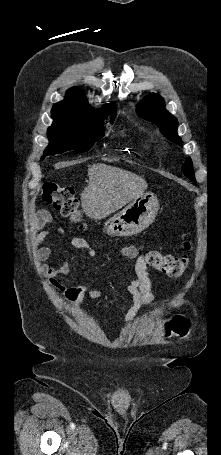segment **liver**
Returning <instances> with one entry per match:
<instances>
[{"mask_svg":"<svg viewBox=\"0 0 221 455\" xmlns=\"http://www.w3.org/2000/svg\"><path fill=\"white\" fill-rule=\"evenodd\" d=\"M88 185L81 193V206L92 219H102L141 196L147 182L138 175L106 164L88 168Z\"/></svg>","mask_w":221,"mask_h":455,"instance_id":"6515ba94","label":"liver"}]
</instances>
